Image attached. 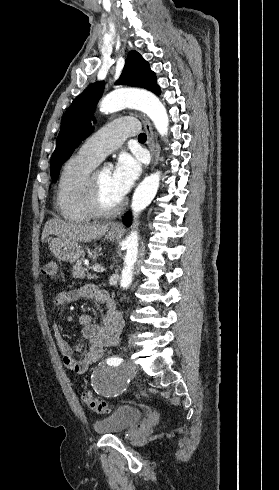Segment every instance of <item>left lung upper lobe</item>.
Here are the masks:
<instances>
[{"label": "left lung upper lobe", "instance_id": "left-lung-upper-lobe-1", "mask_svg": "<svg viewBox=\"0 0 279 490\" xmlns=\"http://www.w3.org/2000/svg\"><path fill=\"white\" fill-rule=\"evenodd\" d=\"M117 85H130L146 88L160 94L156 76L148 62L137 51H131ZM104 82L89 85L77 96L67 109L61 130L56 140V149L51 157L50 173L53 182L58 178L59 167L71 156L74 149L93 131L92 117L94 107L102 95Z\"/></svg>", "mask_w": 279, "mask_h": 490}]
</instances>
